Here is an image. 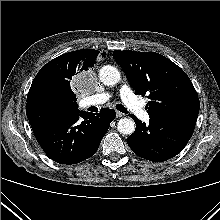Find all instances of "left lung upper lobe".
<instances>
[{
    "mask_svg": "<svg viewBox=\"0 0 220 220\" xmlns=\"http://www.w3.org/2000/svg\"><path fill=\"white\" fill-rule=\"evenodd\" d=\"M113 57L135 93L148 95L150 118L177 113L198 115L197 92L187 74L171 60L155 52L131 50H115Z\"/></svg>",
    "mask_w": 220,
    "mask_h": 220,
    "instance_id": "5c2ea615",
    "label": "left lung upper lobe"
}]
</instances>
